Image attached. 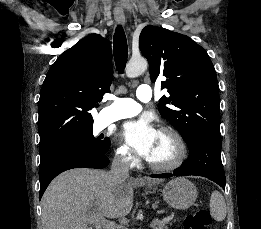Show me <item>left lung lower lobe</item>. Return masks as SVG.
I'll use <instances>...</instances> for the list:
<instances>
[{"label":"left lung lower lobe","mask_w":261,"mask_h":229,"mask_svg":"<svg viewBox=\"0 0 261 229\" xmlns=\"http://www.w3.org/2000/svg\"><path fill=\"white\" fill-rule=\"evenodd\" d=\"M221 139L200 137L189 147L190 155L183 165L173 173L150 175L153 178L199 175L225 188V173L221 162Z\"/></svg>","instance_id":"0a47b994"}]
</instances>
